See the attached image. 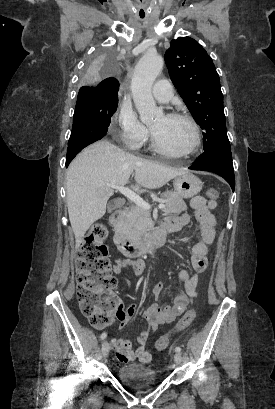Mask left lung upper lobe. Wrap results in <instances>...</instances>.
<instances>
[{"label":"left lung upper lobe","instance_id":"left-lung-upper-lobe-1","mask_svg":"<svg viewBox=\"0 0 275 409\" xmlns=\"http://www.w3.org/2000/svg\"><path fill=\"white\" fill-rule=\"evenodd\" d=\"M165 53L170 78L196 122L204 129V152L230 145L219 75L205 49L190 37L171 41Z\"/></svg>","mask_w":275,"mask_h":409}]
</instances>
